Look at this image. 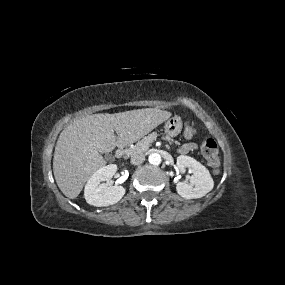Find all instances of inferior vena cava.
Returning <instances> with one entry per match:
<instances>
[{
    "label": "inferior vena cava",
    "instance_id": "inferior-vena-cava-1",
    "mask_svg": "<svg viewBox=\"0 0 285 285\" xmlns=\"http://www.w3.org/2000/svg\"><path fill=\"white\" fill-rule=\"evenodd\" d=\"M144 160H145V156L144 155L137 154V155H134V156L131 157L130 162L133 165H139V164L143 163Z\"/></svg>",
    "mask_w": 285,
    "mask_h": 285
}]
</instances>
